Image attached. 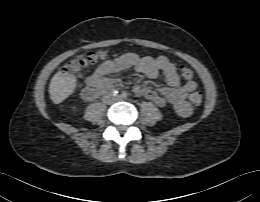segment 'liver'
Instances as JSON below:
<instances>
[{
    "label": "liver",
    "mask_w": 260,
    "mask_h": 202,
    "mask_svg": "<svg viewBox=\"0 0 260 202\" xmlns=\"http://www.w3.org/2000/svg\"><path fill=\"white\" fill-rule=\"evenodd\" d=\"M84 55H80L77 59H81ZM69 68L68 64L63 66ZM77 86V77L70 73L58 71L51 79L49 85V94L53 103L59 104L72 95Z\"/></svg>",
    "instance_id": "6515ba94"
}]
</instances>
